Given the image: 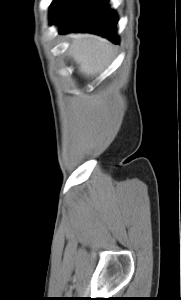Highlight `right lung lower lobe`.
Returning a JSON list of instances; mask_svg holds the SVG:
<instances>
[{"instance_id":"right-lung-lower-lobe-1","label":"right lung lower lobe","mask_w":181,"mask_h":300,"mask_svg":"<svg viewBox=\"0 0 181 300\" xmlns=\"http://www.w3.org/2000/svg\"><path fill=\"white\" fill-rule=\"evenodd\" d=\"M109 0H66L51 12L52 23L59 25V33L90 32L118 43L117 16L108 5Z\"/></svg>"}]
</instances>
